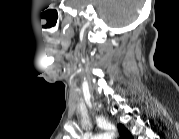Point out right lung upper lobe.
I'll use <instances>...</instances> for the list:
<instances>
[{
	"mask_svg": "<svg viewBox=\"0 0 179 139\" xmlns=\"http://www.w3.org/2000/svg\"><path fill=\"white\" fill-rule=\"evenodd\" d=\"M118 128L120 131L121 139H132L131 134L122 124H119Z\"/></svg>",
	"mask_w": 179,
	"mask_h": 139,
	"instance_id": "1",
	"label": "right lung upper lobe"
}]
</instances>
